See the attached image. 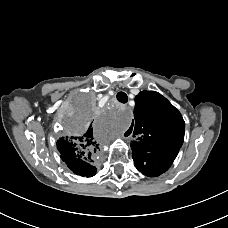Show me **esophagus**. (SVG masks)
<instances>
[{"instance_id": "1", "label": "esophagus", "mask_w": 228, "mask_h": 228, "mask_svg": "<svg viewBox=\"0 0 228 228\" xmlns=\"http://www.w3.org/2000/svg\"><path fill=\"white\" fill-rule=\"evenodd\" d=\"M129 134L128 132L124 131L122 134H121V137L122 138H128Z\"/></svg>"}]
</instances>
